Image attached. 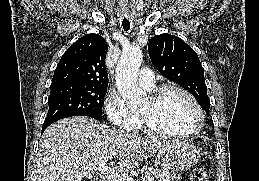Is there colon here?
<instances>
[{
  "label": "colon",
  "instance_id": "5ec220e1",
  "mask_svg": "<svg viewBox=\"0 0 259 181\" xmlns=\"http://www.w3.org/2000/svg\"><path fill=\"white\" fill-rule=\"evenodd\" d=\"M189 181H207L206 172L202 167H195L190 175Z\"/></svg>",
  "mask_w": 259,
  "mask_h": 181
}]
</instances>
